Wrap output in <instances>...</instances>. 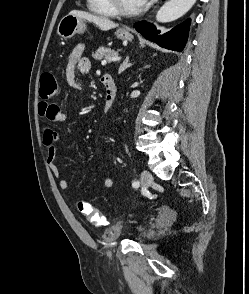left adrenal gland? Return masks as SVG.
<instances>
[{"label": "left adrenal gland", "instance_id": "obj_1", "mask_svg": "<svg viewBox=\"0 0 249 294\" xmlns=\"http://www.w3.org/2000/svg\"><path fill=\"white\" fill-rule=\"evenodd\" d=\"M132 65L133 64L129 62V56H127L123 63L120 65L118 73H122L125 69L131 67Z\"/></svg>", "mask_w": 249, "mask_h": 294}]
</instances>
